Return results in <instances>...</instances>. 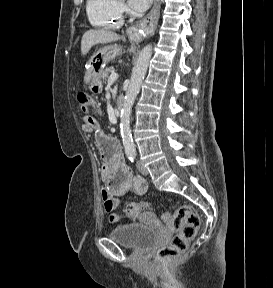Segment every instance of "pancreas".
<instances>
[{
	"instance_id": "1",
	"label": "pancreas",
	"mask_w": 273,
	"mask_h": 288,
	"mask_svg": "<svg viewBox=\"0 0 273 288\" xmlns=\"http://www.w3.org/2000/svg\"><path fill=\"white\" fill-rule=\"evenodd\" d=\"M115 72V69H114V67H107L104 71H103V73H102V79H103V82L104 83H106V80H107V78L109 77V75L111 74V73H114Z\"/></svg>"
}]
</instances>
